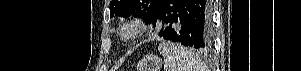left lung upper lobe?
<instances>
[{"label":"left lung upper lobe","mask_w":301,"mask_h":71,"mask_svg":"<svg viewBox=\"0 0 301 71\" xmlns=\"http://www.w3.org/2000/svg\"><path fill=\"white\" fill-rule=\"evenodd\" d=\"M162 0H113L110 2V16L129 17L131 14L144 16L149 21Z\"/></svg>","instance_id":"5c2ea615"}]
</instances>
